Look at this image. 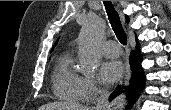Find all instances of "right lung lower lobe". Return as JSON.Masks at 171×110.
Listing matches in <instances>:
<instances>
[{
	"label": "right lung lower lobe",
	"instance_id": "98d812e1",
	"mask_svg": "<svg viewBox=\"0 0 171 110\" xmlns=\"http://www.w3.org/2000/svg\"><path fill=\"white\" fill-rule=\"evenodd\" d=\"M130 65L133 71L132 78L130 80V85L126 88V96L128 99V108L132 107L135 103L144 86V74L139 62L142 61V56L140 55V48L136 46V50L132 51L130 54ZM121 93V86H118L110 96V101Z\"/></svg>",
	"mask_w": 171,
	"mask_h": 110
}]
</instances>
